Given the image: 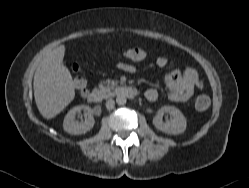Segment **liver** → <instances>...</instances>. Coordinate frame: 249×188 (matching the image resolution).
Here are the masks:
<instances>
[{"instance_id": "6515ba94", "label": "liver", "mask_w": 249, "mask_h": 188, "mask_svg": "<svg viewBox=\"0 0 249 188\" xmlns=\"http://www.w3.org/2000/svg\"><path fill=\"white\" fill-rule=\"evenodd\" d=\"M65 46L54 48L36 69L33 80L34 97L40 114L51 119L68 106L75 97L72 76L63 65Z\"/></svg>"}]
</instances>
